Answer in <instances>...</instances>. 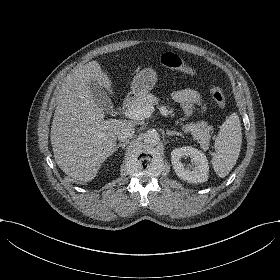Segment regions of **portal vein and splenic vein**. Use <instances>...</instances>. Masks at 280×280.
Wrapping results in <instances>:
<instances>
[{"instance_id":"1","label":"portal vein and splenic vein","mask_w":280,"mask_h":280,"mask_svg":"<svg viewBox=\"0 0 280 280\" xmlns=\"http://www.w3.org/2000/svg\"><path fill=\"white\" fill-rule=\"evenodd\" d=\"M153 111H154V107L148 105L147 107L144 108H140V107L128 108L123 112V114L130 119L143 120L145 118H149ZM159 111L163 116H168L170 113L165 106H161L159 108Z\"/></svg>"}]
</instances>
